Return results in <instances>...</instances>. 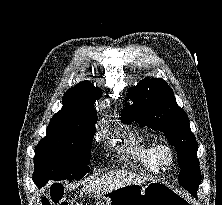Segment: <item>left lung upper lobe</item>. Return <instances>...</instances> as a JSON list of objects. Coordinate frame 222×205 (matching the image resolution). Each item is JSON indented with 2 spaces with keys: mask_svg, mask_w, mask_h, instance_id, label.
I'll return each mask as SVG.
<instances>
[{
  "mask_svg": "<svg viewBox=\"0 0 222 205\" xmlns=\"http://www.w3.org/2000/svg\"><path fill=\"white\" fill-rule=\"evenodd\" d=\"M127 98L134 104H126L122 109L121 121L129 124L134 119L142 127L162 131L177 150L181 167L179 183L197 190L201 184L198 144L189 118L177 105L173 90L162 78H145L128 91Z\"/></svg>",
  "mask_w": 222,
  "mask_h": 205,
  "instance_id": "left-lung-upper-lobe-1",
  "label": "left lung upper lobe"
}]
</instances>
